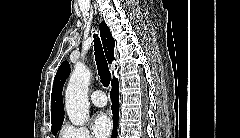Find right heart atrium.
<instances>
[{
  "mask_svg": "<svg viewBox=\"0 0 240 138\" xmlns=\"http://www.w3.org/2000/svg\"><path fill=\"white\" fill-rule=\"evenodd\" d=\"M62 138H93L85 126L65 124L61 129Z\"/></svg>",
  "mask_w": 240,
  "mask_h": 138,
  "instance_id": "right-heart-atrium-1",
  "label": "right heart atrium"
}]
</instances>
